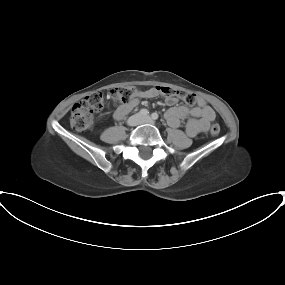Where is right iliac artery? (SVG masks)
<instances>
[{
  "label": "right iliac artery",
  "mask_w": 285,
  "mask_h": 285,
  "mask_svg": "<svg viewBox=\"0 0 285 285\" xmlns=\"http://www.w3.org/2000/svg\"><path fill=\"white\" fill-rule=\"evenodd\" d=\"M139 114H140L141 116H147V115L149 114V111H148L147 109H141L140 112H139Z\"/></svg>",
  "instance_id": "82829eb1"
}]
</instances>
